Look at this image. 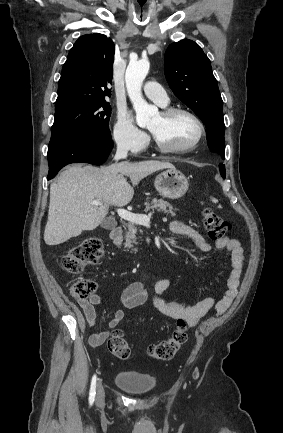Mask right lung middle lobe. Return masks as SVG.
I'll return each instance as SVG.
<instances>
[{"label":"right lung middle lobe","mask_w":283,"mask_h":433,"mask_svg":"<svg viewBox=\"0 0 283 433\" xmlns=\"http://www.w3.org/2000/svg\"><path fill=\"white\" fill-rule=\"evenodd\" d=\"M111 107L106 100L82 103L55 111L52 132L86 131L111 138L109 119Z\"/></svg>","instance_id":"dd1d6c3e"}]
</instances>
